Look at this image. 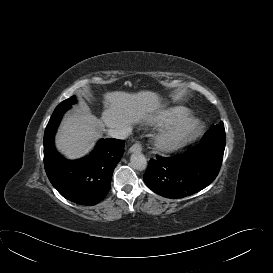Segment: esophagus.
I'll use <instances>...</instances> for the list:
<instances>
[{
    "label": "esophagus",
    "instance_id": "1",
    "mask_svg": "<svg viewBox=\"0 0 273 273\" xmlns=\"http://www.w3.org/2000/svg\"><path fill=\"white\" fill-rule=\"evenodd\" d=\"M143 149L142 145L137 142L135 144H133L130 148H129V152L130 153H135V152H141Z\"/></svg>",
    "mask_w": 273,
    "mask_h": 273
}]
</instances>
